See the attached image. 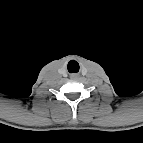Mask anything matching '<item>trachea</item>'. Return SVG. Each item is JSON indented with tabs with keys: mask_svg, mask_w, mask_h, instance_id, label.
I'll use <instances>...</instances> for the list:
<instances>
[{
	"mask_svg": "<svg viewBox=\"0 0 143 143\" xmlns=\"http://www.w3.org/2000/svg\"><path fill=\"white\" fill-rule=\"evenodd\" d=\"M67 68L70 73H77L79 71V64L75 60H71Z\"/></svg>",
	"mask_w": 143,
	"mask_h": 143,
	"instance_id": "1",
	"label": "trachea"
}]
</instances>
